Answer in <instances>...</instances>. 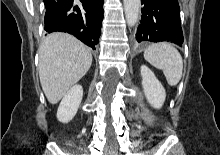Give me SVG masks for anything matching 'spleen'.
I'll return each mask as SVG.
<instances>
[{
    "mask_svg": "<svg viewBox=\"0 0 220 155\" xmlns=\"http://www.w3.org/2000/svg\"><path fill=\"white\" fill-rule=\"evenodd\" d=\"M144 58L152 66L163 71L167 83L176 86L183 71V60L178 50L167 42L151 44L144 51Z\"/></svg>",
    "mask_w": 220,
    "mask_h": 155,
    "instance_id": "obj_1",
    "label": "spleen"
}]
</instances>
